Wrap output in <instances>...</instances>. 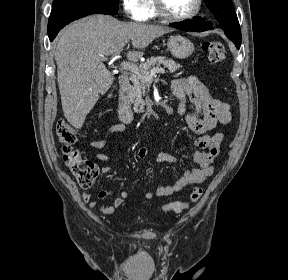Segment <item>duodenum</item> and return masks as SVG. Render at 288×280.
Instances as JSON below:
<instances>
[{
    "mask_svg": "<svg viewBox=\"0 0 288 280\" xmlns=\"http://www.w3.org/2000/svg\"><path fill=\"white\" fill-rule=\"evenodd\" d=\"M119 115L123 123L129 124L133 120V113L131 110L129 100L130 79L128 75L123 74L119 78ZM157 112H154L156 114Z\"/></svg>",
    "mask_w": 288,
    "mask_h": 280,
    "instance_id": "410a0bca",
    "label": "duodenum"
}]
</instances>
